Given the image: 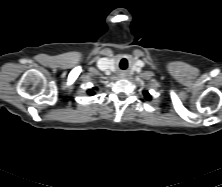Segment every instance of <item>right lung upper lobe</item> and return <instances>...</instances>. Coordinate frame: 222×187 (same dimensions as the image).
I'll use <instances>...</instances> for the list:
<instances>
[{"instance_id":"cb5924a9","label":"right lung upper lobe","mask_w":222,"mask_h":187,"mask_svg":"<svg viewBox=\"0 0 222 187\" xmlns=\"http://www.w3.org/2000/svg\"><path fill=\"white\" fill-rule=\"evenodd\" d=\"M93 89H96L95 87ZM95 92L91 89L88 90V94L93 95Z\"/></svg>"}]
</instances>
